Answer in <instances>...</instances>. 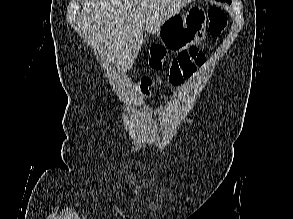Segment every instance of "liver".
<instances>
[{
    "label": "liver",
    "mask_w": 293,
    "mask_h": 219,
    "mask_svg": "<svg viewBox=\"0 0 293 219\" xmlns=\"http://www.w3.org/2000/svg\"><path fill=\"white\" fill-rule=\"evenodd\" d=\"M194 0H84L80 15L87 43L122 71L129 70L143 44V30L155 34L168 18Z\"/></svg>",
    "instance_id": "6515ba94"
}]
</instances>
